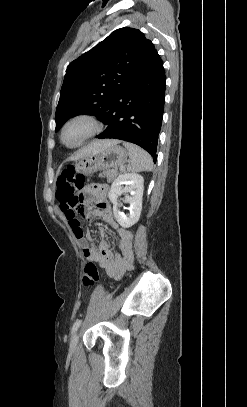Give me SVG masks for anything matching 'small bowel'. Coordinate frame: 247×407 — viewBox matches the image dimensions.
I'll return each instance as SVG.
<instances>
[{
  "label": "small bowel",
  "instance_id": "1",
  "mask_svg": "<svg viewBox=\"0 0 247 407\" xmlns=\"http://www.w3.org/2000/svg\"><path fill=\"white\" fill-rule=\"evenodd\" d=\"M108 187L103 184H91L85 190V197L75 202L60 203V209L63 212L68 224L82 247L83 256L90 262H94L105 269L108 276L114 279L120 278L123 273L133 267V236L130 231L118 225L113 217L112 207L107 200ZM94 201L96 206L89 204ZM78 215L91 220L99 217L106 224L111 226L118 238L119 252L113 253L108 242L105 240L106 230L99 229L101 241L98 248L92 245L93 238L90 234L83 232Z\"/></svg>",
  "mask_w": 247,
  "mask_h": 407
}]
</instances>
